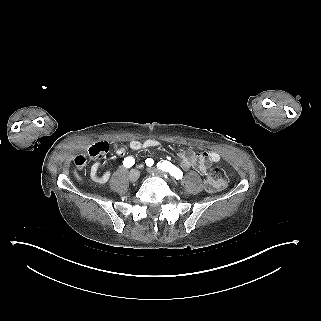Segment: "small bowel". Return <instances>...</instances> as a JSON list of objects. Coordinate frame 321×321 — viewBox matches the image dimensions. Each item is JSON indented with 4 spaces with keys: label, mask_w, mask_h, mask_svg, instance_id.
<instances>
[{
    "label": "small bowel",
    "mask_w": 321,
    "mask_h": 321,
    "mask_svg": "<svg viewBox=\"0 0 321 321\" xmlns=\"http://www.w3.org/2000/svg\"><path fill=\"white\" fill-rule=\"evenodd\" d=\"M159 145V141L156 139H146L143 141L132 140L129 146L133 150H142L145 148H152ZM108 143L106 141H98L89 145L83 152L75 157V162L82 158L83 164H85L86 156L91 155L92 157L101 158L108 151ZM114 152L118 156H124L126 149L123 146H115ZM179 162L184 169H194L200 174H206L211 163L218 162L221 158L220 154L215 151L202 150L199 153H194L189 150H183L179 153ZM107 164L104 160H97L91 167L90 175L94 182L99 184L106 183L110 178V171H105L102 175L98 172L101 168Z\"/></svg>",
    "instance_id": "c3829d8e"
}]
</instances>
